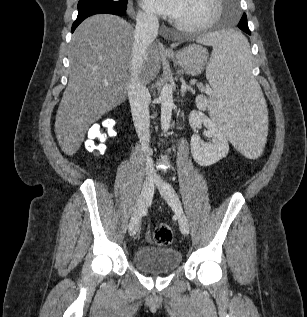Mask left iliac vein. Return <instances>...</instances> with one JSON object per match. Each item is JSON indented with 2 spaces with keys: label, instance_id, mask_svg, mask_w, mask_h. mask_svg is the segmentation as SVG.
I'll list each match as a JSON object with an SVG mask.
<instances>
[{
  "label": "left iliac vein",
  "instance_id": "left-iliac-vein-1",
  "mask_svg": "<svg viewBox=\"0 0 307 317\" xmlns=\"http://www.w3.org/2000/svg\"><path fill=\"white\" fill-rule=\"evenodd\" d=\"M157 185L161 192V195L165 199V201L174 209L178 216V222L181 232L184 235H188L189 233V222L186 215L183 212L181 202L179 197L174 190V188L167 182H162L161 180L157 181Z\"/></svg>",
  "mask_w": 307,
  "mask_h": 317
}]
</instances>
